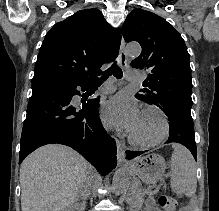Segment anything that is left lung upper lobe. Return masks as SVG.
I'll return each instance as SVG.
<instances>
[{"label": "left lung upper lobe", "instance_id": "obj_1", "mask_svg": "<svg viewBox=\"0 0 219 211\" xmlns=\"http://www.w3.org/2000/svg\"><path fill=\"white\" fill-rule=\"evenodd\" d=\"M122 33L126 42L137 41L141 54L131 67L149 72L135 97L158 106L169 121L193 122L189 54L179 32L160 16L136 8L127 16Z\"/></svg>", "mask_w": 219, "mask_h": 211}]
</instances>
